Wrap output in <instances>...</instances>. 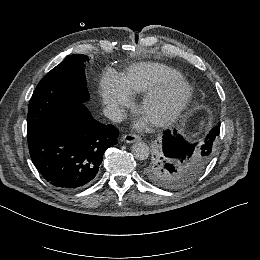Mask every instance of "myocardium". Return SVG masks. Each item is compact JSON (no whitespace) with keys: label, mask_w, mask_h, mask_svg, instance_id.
<instances>
[{"label":"myocardium","mask_w":260,"mask_h":260,"mask_svg":"<svg viewBox=\"0 0 260 260\" xmlns=\"http://www.w3.org/2000/svg\"><path fill=\"white\" fill-rule=\"evenodd\" d=\"M181 89L182 95L176 101L170 102L171 94ZM194 89L190 82L184 78L163 83L159 88L147 95L141 104L154 127L171 125L190 105Z\"/></svg>","instance_id":"obj_1"}]
</instances>
